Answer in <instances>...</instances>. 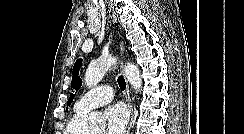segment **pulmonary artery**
I'll return each mask as SVG.
<instances>
[{
  "instance_id": "pulmonary-artery-1",
  "label": "pulmonary artery",
  "mask_w": 244,
  "mask_h": 134,
  "mask_svg": "<svg viewBox=\"0 0 244 134\" xmlns=\"http://www.w3.org/2000/svg\"><path fill=\"white\" fill-rule=\"evenodd\" d=\"M114 92L109 85H101L86 92L75 105V109L88 112L112 101Z\"/></svg>"
}]
</instances>
